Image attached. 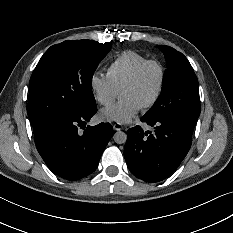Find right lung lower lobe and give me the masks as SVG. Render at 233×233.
<instances>
[{"mask_svg": "<svg viewBox=\"0 0 233 233\" xmlns=\"http://www.w3.org/2000/svg\"><path fill=\"white\" fill-rule=\"evenodd\" d=\"M96 112V103H87L79 112L64 119L32 126L37 150L53 173L67 180H78L96 170L113 136L109 123L85 128Z\"/></svg>", "mask_w": 233, "mask_h": 233, "instance_id": "1", "label": "right lung lower lobe"}]
</instances>
